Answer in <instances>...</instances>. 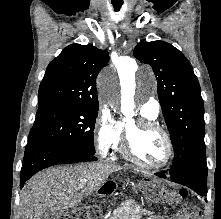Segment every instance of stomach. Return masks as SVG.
Listing matches in <instances>:
<instances>
[{"label": "stomach", "instance_id": "1", "mask_svg": "<svg viewBox=\"0 0 221 219\" xmlns=\"http://www.w3.org/2000/svg\"><path fill=\"white\" fill-rule=\"evenodd\" d=\"M139 189L143 194L144 204H165L167 195H171V190H166L161 178H144Z\"/></svg>", "mask_w": 221, "mask_h": 219}]
</instances>
